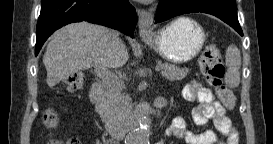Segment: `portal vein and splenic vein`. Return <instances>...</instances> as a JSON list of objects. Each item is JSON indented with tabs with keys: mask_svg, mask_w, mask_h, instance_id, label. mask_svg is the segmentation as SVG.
Wrapping results in <instances>:
<instances>
[{
	"mask_svg": "<svg viewBox=\"0 0 273 144\" xmlns=\"http://www.w3.org/2000/svg\"><path fill=\"white\" fill-rule=\"evenodd\" d=\"M161 70H162L161 66L155 67V71L159 72ZM96 73L98 77L108 86H116V87L124 86L123 81H121L117 76L109 73L106 69H97Z\"/></svg>",
	"mask_w": 273,
	"mask_h": 144,
	"instance_id": "portal-vein-and-splenic-vein-1",
	"label": "portal vein and splenic vein"
}]
</instances>
